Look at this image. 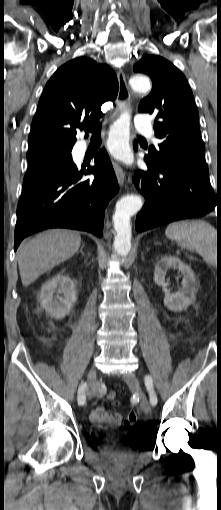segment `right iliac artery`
<instances>
[{
	"instance_id": "obj_1",
	"label": "right iliac artery",
	"mask_w": 221,
	"mask_h": 510,
	"mask_svg": "<svg viewBox=\"0 0 221 510\" xmlns=\"http://www.w3.org/2000/svg\"><path fill=\"white\" fill-rule=\"evenodd\" d=\"M86 389H87V384L84 382L81 383V385L79 386V389H78V404L79 405H84L85 404V401H86V396H85V392H86Z\"/></svg>"
}]
</instances>
